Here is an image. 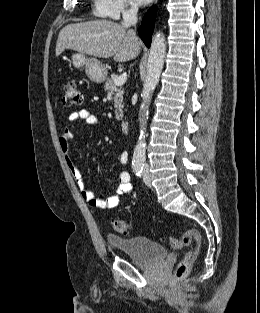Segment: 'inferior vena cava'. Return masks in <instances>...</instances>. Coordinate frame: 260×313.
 Returning a JSON list of instances; mask_svg holds the SVG:
<instances>
[{"instance_id":"obj_1","label":"inferior vena cava","mask_w":260,"mask_h":313,"mask_svg":"<svg viewBox=\"0 0 260 313\" xmlns=\"http://www.w3.org/2000/svg\"><path fill=\"white\" fill-rule=\"evenodd\" d=\"M137 6L132 5L129 9H125L122 12L123 22L122 25L129 27L131 25H136L137 23Z\"/></svg>"}]
</instances>
